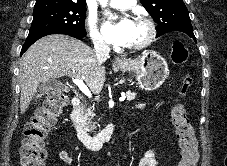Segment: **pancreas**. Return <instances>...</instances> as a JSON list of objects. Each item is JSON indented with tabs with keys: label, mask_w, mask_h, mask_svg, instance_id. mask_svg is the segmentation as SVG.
<instances>
[{
	"label": "pancreas",
	"mask_w": 227,
	"mask_h": 166,
	"mask_svg": "<svg viewBox=\"0 0 227 166\" xmlns=\"http://www.w3.org/2000/svg\"><path fill=\"white\" fill-rule=\"evenodd\" d=\"M126 97L128 101H131L135 99L136 93L128 91L126 93ZM95 113H94V107L93 106H82L81 113H80V124L84 127H87L89 131H92L95 129L96 122L94 121Z\"/></svg>",
	"instance_id": "obj_1"
}]
</instances>
